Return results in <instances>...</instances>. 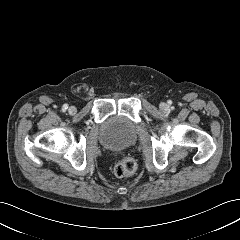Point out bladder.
Returning <instances> with one entry per match:
<instances>
[{
  "label": "bladder",
  "mask_w": 240,
  "mask_h": 240,
  "mask_svg": "<svg viewBox=\"0 0 240 240\" xmlns=\"http://www.w3.org/2000/svg\"><path fill=\"white\" fill-rule=\"evenodd\" d=\"M136 129L123 116H111L100 127V143L110 150L125 149L136 141Z\"/></svg>",
  "instance_id": "1"
}]
</instances>
